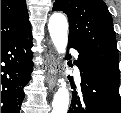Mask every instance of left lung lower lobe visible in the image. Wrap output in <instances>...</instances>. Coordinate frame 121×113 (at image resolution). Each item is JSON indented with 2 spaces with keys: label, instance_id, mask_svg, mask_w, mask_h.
<instances>
[{
  "label": "left lung lower lobe",
  "instance_id": "left-lung-lower-lobe-1",
  "mask_svg": "<svg viewBox=\"0 0 121 113\" xmlns=\"http://www.w3.org/2000/svg\"><path fill=\"white\" fill-rule=\"evenodd\" d=\"M68 45L79 52L76 64L81 74V90L72 92L68 113H121L120 79L86 56L76 44Z\"/></svg>",
  "mask_w": 121,
  "mask_h": 113
}]
</instances>
